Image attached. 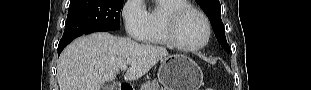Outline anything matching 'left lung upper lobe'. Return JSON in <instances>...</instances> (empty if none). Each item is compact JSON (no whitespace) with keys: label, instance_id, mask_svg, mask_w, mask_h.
Instances as JSON below:
<instances>
[{"label":"left lung upper lobe","instance_id":"5c2ea615","mask_svg":"<svg viewBox=\"0 0 311 90\" xmlns=\"http://www.w3.org/2000/svg\"><path fill=\"white\" fill-rule=\"evenodd\" d=\"M203 11L208 16L215 36L226 52H230L229 45L225 37V29L221 20V5L219 0H196Z\"/></svg>","mask_w":311,"mask_h":90}]
</instances>
